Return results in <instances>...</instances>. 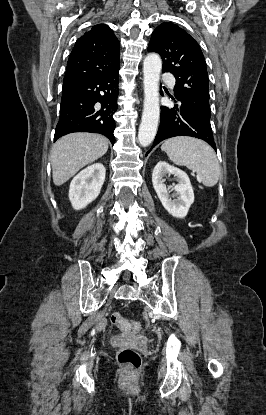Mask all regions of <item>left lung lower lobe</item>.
Listing matches in <instances>:
<instances>
[{"mask_svg":"<svg viewBox=\"0 0 266 415\" xmlns=\"http://www.w3.org/2000/svg\"><path fill=\"white\" fill-rule=\"evenodd\" d=\"M175 136H192L202 139L216 150L210 123L197 116L181 102L173 108L161 107V123L151 149L161 141Z\"/></svg>","mask_w":266,"mask_h":415,"instance_id":"0a47b994","label":"left lung lower lobe"}]
</instances>
